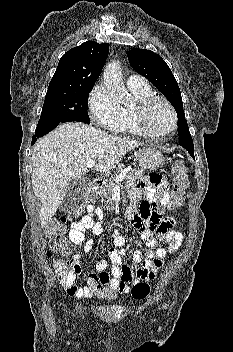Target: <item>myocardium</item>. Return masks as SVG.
<instances>
[{
  "mask_svg": "<svg viewBox=\"0 0 233 352\" xmlns=\"http://www.w3.org/2000/svg\"><path fill=\"white\" fill-rule=\"evenodd\" d=\"M156 102L163 103L169 109L173 120L172 127L162 133H155L151 131L147 124L148 111L150 107ZM134 119L136 126L142 135L152 139H160L170 135L175 131L178 124L177 113L173 105L166 98L159 95H151L137 102L134 106Z\"/></svg>",
  "mask_w": 233,
  "mask_h": 352,
  "instance_id": "obj_1",
  "label": "myocardium"
}]
</instances>
